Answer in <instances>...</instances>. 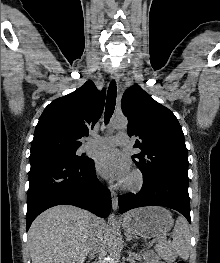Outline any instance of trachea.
Masks as SVG:
<instances>
[{
  "mask_svg": "<svg viewBox=\"0 0 220 263\" xmlns=\"http://www.w3.org/2000/svg\"><path fill=\"white\" fill-rule=\"evenodd\" d=\"M117 95L116 82L112 81L108 87V93L106 98L105 116L104 123L108 124L109 120L114 112Z\"/></svg>",
  "mask_w": 220,
  "mask_h": 263,
  "instance_id": "1",
  "label": "trachea"
}]
</instances>
